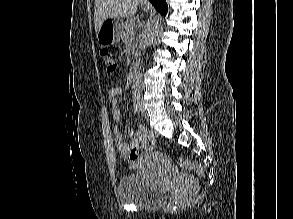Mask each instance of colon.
Listing matches in <instances>:
<instances>
[{"instance_id": "colon-1", "label": "colon", "mask_w": 293, "mask_h": 219, "mask_svg": "<svg viewBox=\"0 0 293 219\" xmlns=\"http://www.w3.org/2000/svg\"><path fill=\"white\" fill-rule=\"evenodd\" d=\"M104 66L108 74H113L117 69V57L109 51L103 52ZM156 145V138L148 129L144 132V138L140 145L132 148L128 158L131 166H135L145 155H147ZM180 165L183 168L193 170L202 175L203 170L200 166L185 160H180Z\"/></svg>"}]
</instances>
